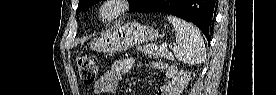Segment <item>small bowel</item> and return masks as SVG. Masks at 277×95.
Masks as SVG:
<instances>
[{
    "mask_svg": "<svg viewBox=\"0 0 277 95\" xmlns=\"http://www.w3.org/2000/svg\"><path fill=\"white\" fill-rule=\"evenodd\" d=\"M156 67L160 66V62H154ZM134 66L133 58H124L114 61L111 68L107 70L102 77L94 85L95 94H115L117 86L122 76L131 71ZM156 95H170L168 87H159Z\"/></svg>",
    "mask_w": 277,
    "mask_h": 95,
    "instance_id": "small-bowel-1",
    "label": "small bowel"
}]
</instances>
